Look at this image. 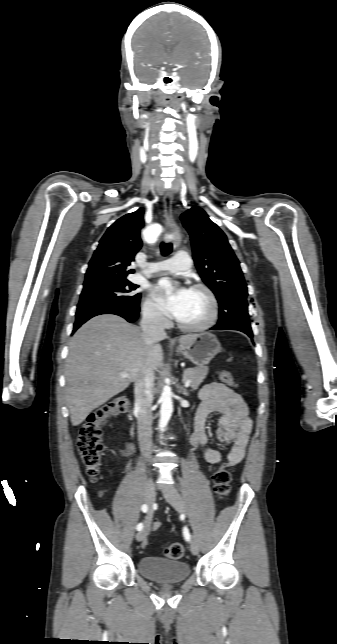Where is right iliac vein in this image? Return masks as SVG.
Returning <instances> with one entry per match:
<instances>
[{
    "label": "right iliac vein",
    "mask_w": 337,
    "mask_h": 644,
    "mask_svg": "<svg viewBox=\"0 0 337 644\" xmlns=\"http://www.w3.org/2000/svg\"><path fill=\"white\" fill-rule=\"evenodd\" d=\"M155 496L156 494H155L154 484L152 481H149L146 486L145 494H144V501L149 507L153 505L155 501ZM147 534H148V527L145 526V528H143L140 532L136 534V540L139 542L144 540Z\"/></svg>",
    "instance_id": "63e3f726"
}]
</instances>
